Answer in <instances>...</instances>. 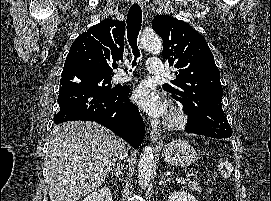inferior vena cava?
I'll use <instances>...</instances> for the list:
<instances>
[{"label": "inferior vena cava", "mask_w": 271, "mask_h": 201, "mask_svg": "<svg viewBox=\"0 0 271 201\" xmlns=\"http://www.w3.org/2000/svg\"><path fill=\"white\" fill-rule=\"evenodd\" d=\"M122 144H123V147H124V143H123V142H122ZM124 157H125V156H124V150H123V151L120 153V157H119V158H120V159H124Z\"/></svg>", "instance_id": "obj_1"}]
</instances>
